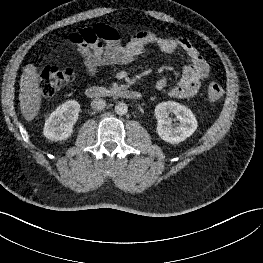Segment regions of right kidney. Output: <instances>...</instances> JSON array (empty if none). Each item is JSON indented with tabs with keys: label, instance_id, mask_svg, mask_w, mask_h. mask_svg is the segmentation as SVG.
<instances>
[{
	"label": "right kidney",
	"instance_id": "right-kidney-1",
	"mask_svg": "<svg viewBox=\"0 0 263 263\" xmlns=\"http://www.w3.org/2000/svg\"><path fill=\"white\" fill-rule=\"evenodd\" d=\"M80 104L76 100H68L57 107L47 118L43 134L52 141L68 139L73 133L74 124L78 120Z\"/></svg>",
	"mask_w": 263,
	"mask_h": 263
}]
</instances>
